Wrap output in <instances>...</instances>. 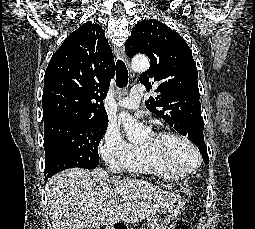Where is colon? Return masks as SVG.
<instances>
[{"label": "colon", "mask_w": 255, "mask_h": 229, "mask_svg": "<svg viewBox=\"0 0 255 229\" xmlns=\"http://www.w3.org/2000/svg\"><path fill=\"white\" fill-rule=\"evenodd\" d=\"M173 229H191V225L185 220H180L175 224Z\"/></svg>", "instance_id": "1"}]
</instances>
